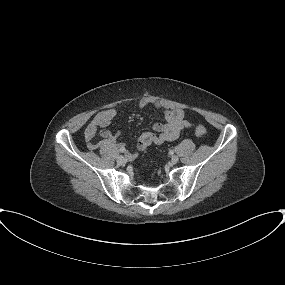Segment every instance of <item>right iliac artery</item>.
<instances>
[{
	"label": "right iliac artery",
	"mask_w": 285,
	"mask_h": 285,
	"mask_svg": "<svg viewBox=\"0 0 285 285\" xmlns=\"http://www.w3.org/2000/svg\"><path fill=\"white\" fill-rule=\"evenodd\" d=\"M122 153H124L125 152V149H122V150H120Z\"/></svg>",
	"instance_id": "82829eb1"
}]
</instances>
